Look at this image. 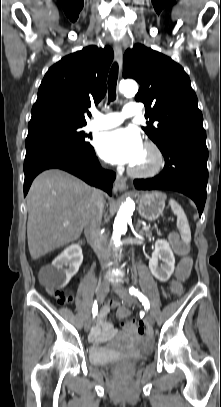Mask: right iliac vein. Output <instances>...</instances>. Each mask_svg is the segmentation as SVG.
Listing matches in <instances>:
<instances>
[{"label":"right iliac vein","instance_id":"obj_1","mask_svg":"<svg viewBox=\"0 0 221 407\" xmlns=\"http://www.w3.org/2000/svg\"><path fill=\"white\" fill-rule=\"evenodd\" d=\"M108 291H109V284L106 282H102L99 285L98 291H97V299H98L99 303H101L103 301V299ZM90 327H91V318H90V316H88L86 318L84 328L86 331H89Z\"/></svg>","mask_w":221,"mask_h":407}]
</instances>
